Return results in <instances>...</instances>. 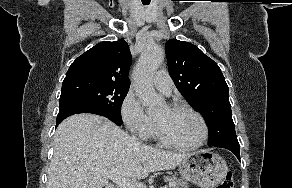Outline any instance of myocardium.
<instances>
[{
  "label": "myocardium",
  "mask_w": 292,
  "mask_h": 188,
  "mask_svg": "<svg viewBox=\"0 0 292 188\" xmlns=\"http://www.w3.org/2000/svg\"><path fill=\"white\" fill-rule=\"evenodd\" d=\"M167 108L170 111H187L195 115L201 123L202 136L196 143L191 144V145H182V144L175 143L164 134L160 125L155 120L154 124H155L156 137L162 145L172 148V149H176V150L191 151V150H195L202 147L207 142L208 137H209V126L205 117L203 116L201 112L183 103H174V104L169 105Z\"/></svg>",
  "instance_id": "obj_1"
}]
</instances>
